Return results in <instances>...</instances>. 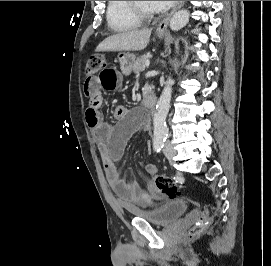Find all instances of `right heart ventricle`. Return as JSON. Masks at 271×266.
I'll list each match as a JSON object with an SVG mask.
<instances>
[{
    "instance_id": "obj_1",
    "label": "right heart ventricle",
    "mask_w": 271,
    "mask_h": 266,
    "mask_svg": "<svg viewBox=\"0 0 271 266\" xmlns=\"http://www.w3.org/2000/svg\"><path fill=\"white\" fill-rule=\"evenodd\" d=\"M106 19L116 32H128L138 28L142 21L129 8V1H108Z\"/></svg>"
}]
</instances>
